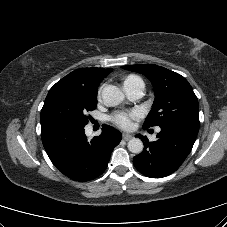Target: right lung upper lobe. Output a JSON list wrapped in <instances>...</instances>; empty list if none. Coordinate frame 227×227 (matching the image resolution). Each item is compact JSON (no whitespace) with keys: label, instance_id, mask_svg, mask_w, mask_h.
Returning a JSON list of instances; mask_svg holds the SVG:
<instances>
[{"label":"right lung upper lobe","instance_id":"cb5924a9","mask_svg":"<svg viewBox=\"0 0 227 227\" xmlns=\"http://www.w3.org/2000/svg\"><path fill=\"white\" fill-rule=\"evenodd\" d=\"M111 71V68H81L71 72L62 80L98 87L100 81Z\"/></svg>","mask_w":227,"mask_h":227}]
</instances>
